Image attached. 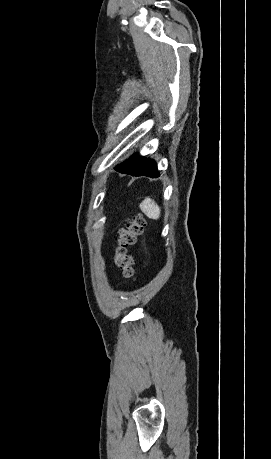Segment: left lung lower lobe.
<instances>
[{"instance_id": "1", "label": "left lung lower lobe", "mask_w": 271, "mask_h": 459, "mask_svg": "<svg viewBox=\"0 0 271 459\" xmlns=\"http://www.w3.org/2000/svg\"><path fill=\"white\" fill-rule=\"evenodd\" d=\"M115 169L118 172L133 176H149L152 178L159 176L155 161L141 157L138 154H134L128 160L117 165Z\"/></svg>"}]
</instances>
